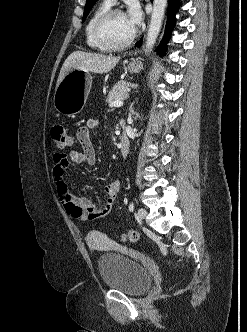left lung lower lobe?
Segmentation results:
<instances>
[{"label": "left lung lower lobe", "mask_w": 247, "mask_h": 332, "mask_svg": "<svg viewBox=\"0 0 247 332\" xmlns=\"http://www.w3.org/2000/svg\"><path fill=\"white\" fill-rule=\"evenodd\" d=\"M180 7V0H169L168 1V11H167V24H166V30H165V37L161 41L160 45L158 46V53L159 54H165L166 50V43L170 37L172 28L175 24V15L178 12ZM139 46L140 44H136Z\"/></svg>", "instance_id": "left-lung-lower-lobe-1"}]
</instances>
